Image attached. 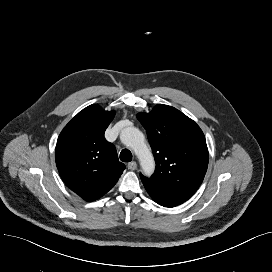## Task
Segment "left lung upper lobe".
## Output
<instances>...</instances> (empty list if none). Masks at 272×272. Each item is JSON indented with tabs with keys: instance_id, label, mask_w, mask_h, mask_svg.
<instances>
[{
	"instance_id": "obj_1",
	"label": "left lung upper lobe",
	"mask_w": 272,
	"mask_h": 272,
	"mask_svg": "<svg viewBox=\"0 0 272 272\" xmlns=\"http://www.w3.org/2000/svg\"><path fill=\"white\" fill-rule=\"evenodd\" d=\"M156 162L154 174L140 175L152 185L193 195L208 167V148L200 127L174 107L158 104L149 113H138Z\"/></svg>"
}]
</instances>
